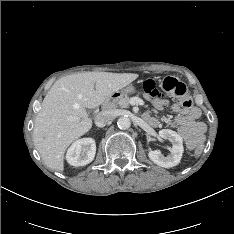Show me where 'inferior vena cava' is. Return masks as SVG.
<instances>
[{"mask_svg":"<svg viewBox=\"0 0 234 234\" xmlns=\"http://www.w3.org/2000/svg\"><path fill=\"white\" fill-rule=\"evenodd\" d=\"M113 120V115L109 111H102L95 117V125L104 127Z\"/></svg>","mask_w":234,"mask_h":234,"instance_id":"inferior-vena-cava-1","label":"inferior vena cava"}]
</instances>
